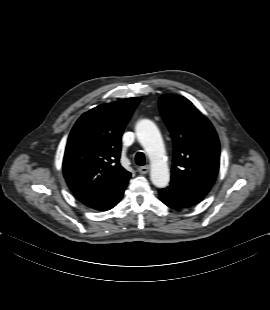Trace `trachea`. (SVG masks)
I'll return each mask as SVG.
<instances>
[{
    "label": "trachea",
    "mask_w": 270,
    "mask_h": 310,
    "mask_svg": "<svg viewBox=\"0 0 270 310\" xmlns=\"http://www.w3.org/2000/svg\"><path fill=\"white\" fill-rule=\"evenodd\" d=\"M135 163L139 166H143L145 164V155L142 152H138L135 155Z\"/></svg>",
    "instance_id": "1"
}]
</instances>
